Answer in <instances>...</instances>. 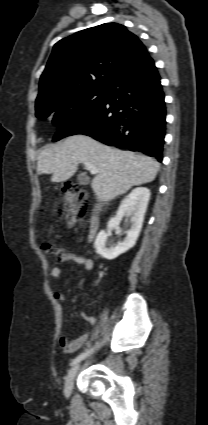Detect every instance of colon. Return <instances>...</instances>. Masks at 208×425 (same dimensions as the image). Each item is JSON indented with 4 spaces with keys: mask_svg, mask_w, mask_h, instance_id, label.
Masks as SVG:
<instances>
[{
    "mask_svg": "<svg viewBox=\"0 0 208 425\" xmlns=\"http://www.w3.org/2000/svg\"><path fill=\"white\" fill-rule=\"evenodd\" d=\"M60 191L65 197L71 202L67 210V219L71 225L79 223L84 216L85 204L87 200V194L78 184L66 182L60 186ZM73 202V203H72ZM42 249L49 256H56L59 254L60 249L51 244L45 243L42 245Z\"/></svg>",
    "mask_w": 208,
    "mask_h": 425,
    "instance_id": "obj_1",
    "label": "colon"
}]
</instances>
